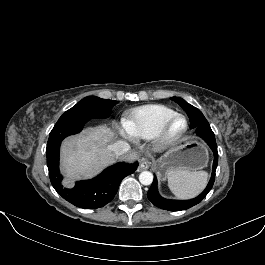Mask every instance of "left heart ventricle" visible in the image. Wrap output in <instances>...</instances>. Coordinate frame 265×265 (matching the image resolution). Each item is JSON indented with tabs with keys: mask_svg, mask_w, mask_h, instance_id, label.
<instances>
[{
	"mask_svg": "<svg viewBox=\"0 0 265 265\" xmlns=\"http://www.w3.org/2000/svg\"><path fill=\"white\" fill-rule=\"evenodd\" d=\"M182 126H183V121L181 119H177V120H175V122L172 126V130L174 132H177L182 128Z\"/></svg>",
	"mask_w": 265,
	"mask_h": 265,
	"instance_id": "obj_1",
	"label": "left heart ventricle"
}]
</instances>
